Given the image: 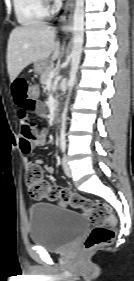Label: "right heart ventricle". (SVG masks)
Returning a JSON list of instances; mask_svg holds the SVG:
<instances>
[{
  "mask_svg": "<svg viewBox=\"0 0 134 281\" xmlns=\"http://www.w3.org/2000/svg\"><path fill=\"white\" fill-rule=\"evenodd\" d=\"M16 18L22 25H33L43 21L48 12L43 0H13Z\"/></svg>",
  "mask_w": 134,
  "mask_h": 281,
  "instance_id": "right-heart-ventricle-1",
  "label": "right heart ventricle"
}]
</instances>
